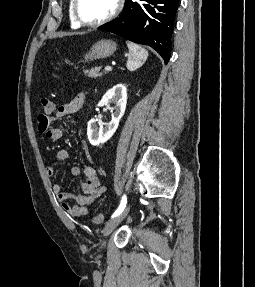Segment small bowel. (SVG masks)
Here are the masks:
<instances>
[{"label":"small bowel","mask_w":255,"mask_h":287,"mask_svg":"<svg viewBox=\"0 0 255 287\" xmlns=\"http://www.w3.org/2000/svg\"><path fill=\"white\" fill-rule=\"evenodd\" d=\"M85 102V95L80 93L69 102L62 104L53 116L41 114L38 117L39 130L43 132L49 140L58 141L63 137V131L59 127L53 126V122L64 116L79 111ZM69 150L59 149L56 153L58 161H65L69 158ZM73 175H79L81 169L77 166L71 169ZM84 180L81 183L80 192L70 193L65 191L60 184H54L53 192L59 202L62 211L69 217L79 218L88 214L89 206L95 199L104 192L97 171L90 165H85L82 169ZM46 173L49 177L56 174L53 165L46 166Z\"/></svg>","instance_id":"1"}]
</instances>
